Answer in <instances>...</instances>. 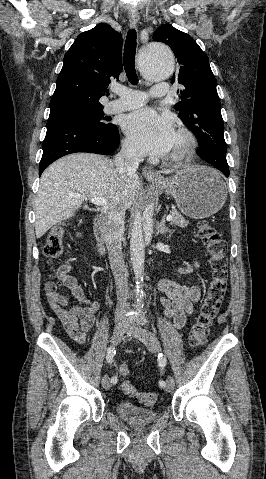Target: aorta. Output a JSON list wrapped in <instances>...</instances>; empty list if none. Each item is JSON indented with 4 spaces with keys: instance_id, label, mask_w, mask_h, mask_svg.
<instances>
[{
    "instance_id": "762f6f07",
    "label": "aorta",
    "mask_w": 266,
    "mask_h": 479,
    "mask_svg": "<svg viewBox=\"0 0 266 479\" xmlns=\"http://www.w3.org/2000/svg\"><path fill=\"white\" fill-rule=\"evenodd\" d=\"M138 64L142 74L151 81L168 79L174 71V56L171 50L162 43H150L139 52ZM142 220L134 222L131 230L130 251L131 263L137 280V288H141L144 274L145 244L153 234V215L155 203L149 193L140 200ZM139 292V289H138ZM142 295L138 296L140 303Z\"/></svg>"
}]
</instances>
